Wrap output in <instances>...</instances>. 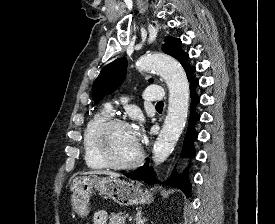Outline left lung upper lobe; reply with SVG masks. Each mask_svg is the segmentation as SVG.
<instances>
[{"mask_svg":"<svg viewBox=\"0 0 275 224\" xmlns=\"http://www.w3.org/2000/svg\"><path fill=\"white\" fill-rule=\"evenodd\" d=\"M163 51L177 59L186 73H189L195 67L187 62L189 55L181 48V40L173 37H166ZM127 60L119 58L106 65L95 80L92 87V98L94 102H99L105 95L110 94L118 88L126 75ZM149 79V82H152Z\"/></svg>","mask_w":275,"mask_h":224,"instance_id":"1","label":"left lung upper lobe"}]
</instances>
